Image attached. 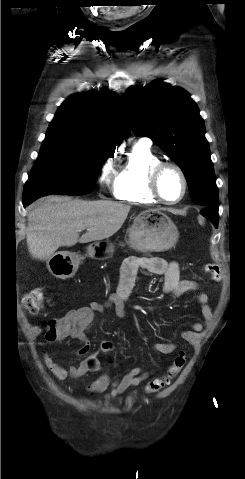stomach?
<instances>
[{"label":"stomach","instance_id":"stomach-1","mask_svg":"<svg viewBox=\"0 0 245 479\" xmlns=\"http://www.w3.org/2000/svg\"><path fill=\"white\" fill-rule=\"evenodd\" d=\"M128 244L140 252L165 251L178 241L179 232L171 219L159 211H144L134 218L128 230ZM114 244L109 240L97 241L87 248L89 257L106 260L114 254ZM82 257L76 253L59 251L47 260L50 273L60 279L71 278L78 270Z\"/></svg>","mask_w":245,"mask_h":479}]
</instances>
